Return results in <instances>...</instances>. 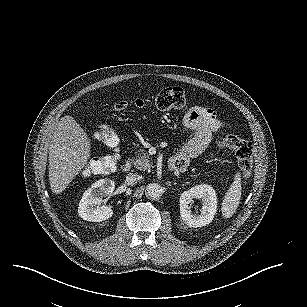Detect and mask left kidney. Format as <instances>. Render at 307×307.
<instances>
[{
	"label": "left kidney",
	"instance_id": "5707ae66",
	"mask_svg": "<svg viewBox=\"0 0 307 307\" xmlns=\"http://www.w3.org/2000/svg\"><path fill=\"white\" fill-rule=\"evenodd\" d=\"M193 198L202 199L200 214H193L190 205ZM218 198L215 188L207 183L194 185L180 196V214L182 222L190 227H202L210 224L217 212Z\"/></svg>",
	"mask_w": 307,
	"mask_h": 307
}]
</instances>
